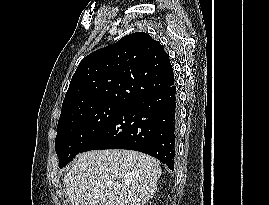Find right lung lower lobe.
I'll list each match as a JSON object with an SVG mask.
<instances>
[{
  "mask_svg": "<svg viewBox=\"0 0 269 205\" xmlns=\"http://www.w3.org/2000/svg\"><path fill=\"white\" fill-rule=\"evenodd\" d=\"M178 107L176 86L144 96L116 115L82 149H129L174 169Z\"/></svg>",
  "mask_w": 269,
  "mask_h": 205,
  "instance_id": "obj_1",
  "label": "right lung lower lobe"
}]
</instances>
